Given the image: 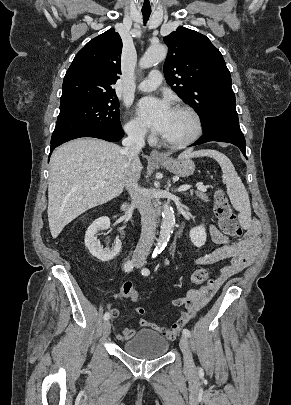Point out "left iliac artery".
Instances as JSON below:
<instances>
[{
    "instance_id": "1",
    "label": "left iliac artery",
    "mask_w": 291,
    "mask_h": 405,
    "mask_svg": "<svg viewBox=\"0 0 291 405\" xmlns=\"http://www.w3.org/2000/svg\"><path fill=\"white\" fill-rule=\"evenodd\" d=\"M141 273H142L143 276H148L150 274V270L148 268H143ZM182 333L186 337L191 336V333H190V331L188 329H183Z\"/></svg>"
}]
</instances>
